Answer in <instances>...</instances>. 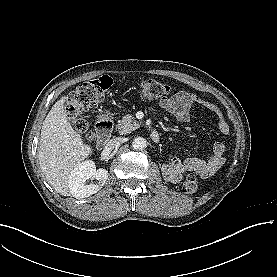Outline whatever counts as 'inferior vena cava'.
<instances>
[{
  "label": "inferior vena cava",
  "instance_id": "inferior-vena-cava-1",
  "mask_svg": "<svg viewBox=\"0 0 277 277\" xmlns=\"http://www.w3.org/2000/svg\"><path fill=\"white\" fill-rule=\"evenodd\" d=\"M119 144H120V138L116 137V138L110 139L106 142L104 150L110 152L114 148L119 146Z\"/></svg>",
  "mask_w": 277,
  "mask_h": 277
}]
</instances>
